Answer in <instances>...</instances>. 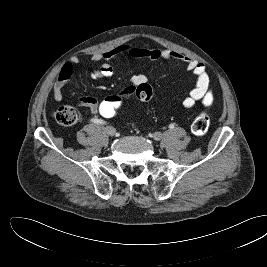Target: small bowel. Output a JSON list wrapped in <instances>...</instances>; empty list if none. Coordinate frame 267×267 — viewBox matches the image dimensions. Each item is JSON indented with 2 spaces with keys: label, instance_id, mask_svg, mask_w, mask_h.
Listing matches in <instances>:
<instances>
[{
  "label": "small bowel",
  "instance_id": "c3829d8e",
  "mask_svg": "<svg viewBox=\"0 0 267 267\" xmlns=\"http://www.w3.org/2000/svg\"><path fill=\"white\" fill-rule=\"evenodd\" d=\"M122 57L145 58L149 60L165 59V60H182L186 63V69L191 72L195 79V86L190 90L189 94L183 99L182 105L185 109H192L198 101L205 107L212 105L214 101V93L211 89V82L205 66L194 59L186 57L182 54L174 52L170 49L158 48H138L129 44L119 45L109 51L94 54L92 59L96 61L104 60L98 68L91 71L92 79H105L113 75V67L108 60ZM78 63V58L74 57L66 62L60 69L57 80L53 85V98L55 101H61L63 98V88L71 79L74 67ZM148 81V77L143 73L135 74L131 77L132 85L128 86L119 93L125 98H129L135 91V88ZM99 102L96 98L85 96L81 97L78 104L87 107L93 113L98 112Z\"/></svg>",
  "mask_w": 267,
  "mask_h": 267
}]
</instances>
